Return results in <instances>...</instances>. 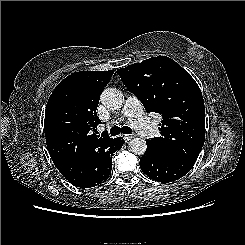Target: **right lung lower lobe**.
<instances>
[{"label": "right lung lower lobe", "instance_id": "right-lung-lower-lobe-1", "mask_svg": "<svg viewBox=\"0 0 245 245\" xmlns=\"http://www.w3.org/2000/svg\"><path fill=\"white\" fill-rule=\"evenodd\" d=\"M125 143L122 137L114 138L109 142L96 146L89 154L86 163V172L83 176L80 171L71 165H56L61 174L74 186L81 188L94 187L105 182L111 174L112 155L121 149Z\"/></svg>", "mask_w": 245, "mask_h": 245}]
</instances>
